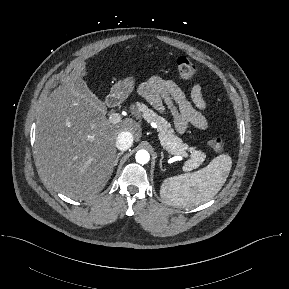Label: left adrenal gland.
Instances as JSON below:
<instances>
[{"mask_svg":"<svg viewBox=\"0 0 289 289\" xmlns=\"http://www.w3.org/2000/svg\"><path fill=\"white\" fill-rule=\"evenodd\" d=\"M163 158H164V154H163V152H161V159H160V163H159L161 170H163L162 169V160H163Z\"/></svg>","mask_w":289,"mask_h":289,"instance_id":"left-adrenal-gland-1","label":"left adrenal gland"}]
</instances>
